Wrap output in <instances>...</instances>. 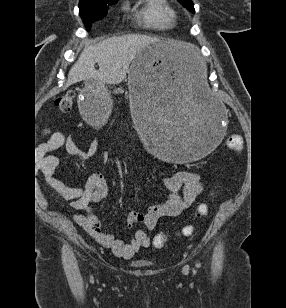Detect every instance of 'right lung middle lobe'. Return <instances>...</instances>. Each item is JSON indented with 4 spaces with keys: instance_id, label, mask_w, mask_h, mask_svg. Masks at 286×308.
<instances>
[{
    "instance_id": "obj_1",
    "label": "right lung middle lobe",
    "mask_w": 286,
    "mask_h": 308,
    "mask_svg": "<svg viewBox=\"0 0 286 308\" xmlns=\"http://www.w3.org/2000/svg\"><path fill=\"white\" fill-rule=\"evenodd\" d=\"M118 0H84L79 3V15L86 28L89 30L95 20L102 19L107 14L109 5L117 3Z\"/></svg>"
}]
</instances>
